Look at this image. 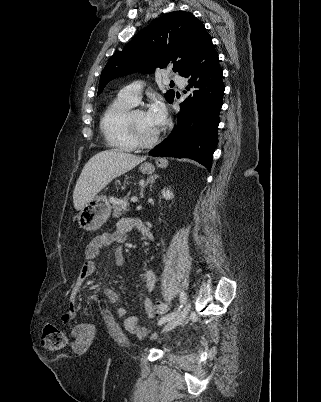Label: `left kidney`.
Instances as JSON below:
<instances>
[{"label": "left kidney", "instance_id": "left-kidney-1", "mask_svg": "<svg viewBox=\"0 0 321 402\" xmlns=\"http://www.w3.org/2000/svg\"><path fill=\"white\" fill-rule=\"evenodd\" d=\"M161 194H162L163 198H165L166 200H171L174 198L173 192L169 189H163Z\"/></svg>", "mask_w": 321, "mask_h": 402}]
</instances>
